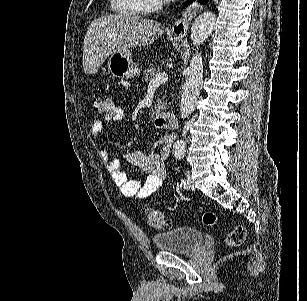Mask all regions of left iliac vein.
<instances>
[{"label": "left iliac vein", "instance_id": "1", "mask_svg": "<svg viewBox=\"0 0 307 301\" xmlns=\"http://www.w3.org/2000/svg\"><path fill=\"white\" fill-rule=\"evenodd\" d=\"M185 176H186V180L188 181V184L186 185L185 188L194 190V186H193L192 181H191V172L187 171Z\"/></svg>", "mask_w": 307, "mask_h": 301}]
</instances>
